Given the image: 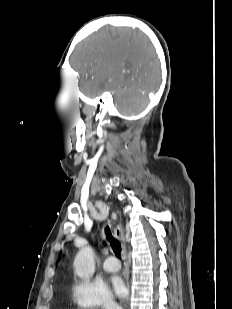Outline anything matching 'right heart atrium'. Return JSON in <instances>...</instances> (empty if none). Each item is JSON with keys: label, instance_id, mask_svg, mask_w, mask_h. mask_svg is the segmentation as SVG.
Instances as JSON below:
<instances>
[{"label": "right heart atrium", "instance_id": "d8ad5b80", "mask_svg": "<svg viewBox=\"0 0 232 309\" xmlns=\"http://www.w3.org/2000/svg\"><path fill=\"white\" fill-rule=\"evenodd\" d=\"M72 298L81 308L118 309L105 286L90 281H76L72 286Z\"/></svg>", "mask_w": 232, "mask_h": 309}]
</instances>
